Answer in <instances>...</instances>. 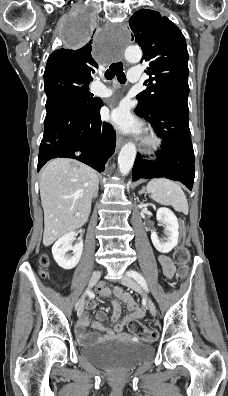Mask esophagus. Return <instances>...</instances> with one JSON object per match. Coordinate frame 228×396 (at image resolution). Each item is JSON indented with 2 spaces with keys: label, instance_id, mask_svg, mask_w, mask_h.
Instances as JSON below:
<instances>
[{
  "label": "esophagus",
  "instance_id": "34e87169",
  "mask_svg": "<svg viewBox=\"0 0 228 396\" xmlns=\"http://www.w3.org/2000/svg\"><path fill=\"white\" fill-rule=\"evenodd\" d=\"M123 143H124V139L121 136H117L116 149L118 150L122 146Z\"/></svg>",
  "mask_w": 228,
  "mask_h": 396
}]
</instances>
